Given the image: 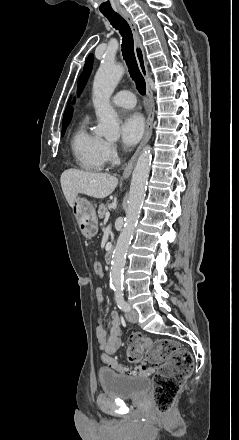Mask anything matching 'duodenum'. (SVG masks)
<instances>
[{"mask_svg": "<svg viewBox=\"0 0 239 440\" xmlns=\"http://www.w3.org/2000/svg\"><path fill=\"white\" fill-rule=\"evenodd\" d=\"M113 254H114V249H113V248H110V249L106 252L105 259H106V262H107V263H110V262L112 261Z\"/></svg>", "mask_w": 239, "mask_h": 440, "instance_id": "duodenum-1", "label": "duodenum"}]
</instances>
